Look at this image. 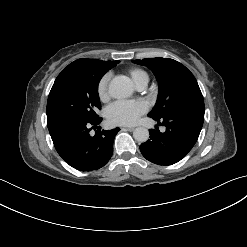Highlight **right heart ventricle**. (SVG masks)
<instances>
[{"label":"right heart ventricle","instance_id":"right-heart-ventricle-1","mask_svg":"<svg viewBox=\"0 0 247 247\" xmlns=\"http://www.w3.org/2000/svg\"><path fill=\"white\" fill-rule=\"evenodd\" d=\"M128 74L135 86L147 84L149 81L148 73L143 69L133 67L128 70Z\"/></svg>","mask_w":247,"mask_h":247}]
</instances>
